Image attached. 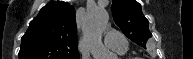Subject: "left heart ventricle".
Masks as SVG:
<instances>
[{
    "instance_id": "b2bd125f",
    "label": "left heart ventricle",
    "mask_w": 193,
    "mask_h": 59,
    "mask_svg": "<svg viewBox=\"0 0 193 59\" xmlns=\"http://www.w3.org/2000/svg\"><path fill=\"white\" fill-rule=\"evenodd\" d=\"M108 51H110V52H115V50H113V49H108Z\"/></svg>"
}]
</instances>
